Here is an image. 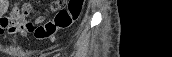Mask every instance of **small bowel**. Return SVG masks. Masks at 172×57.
Returning a JSON list of instances; mask_svg holds the SVG:
<instances>
[{"mask_svg":"<svg viewBox=\"0 0 172 57\" xmlns=\"http://www.w3.org/2000/svg\"><path fill=\"white\" fill-rule=\"evenodd\" d=\"M29 6V2L23 3L20 1L15 2L10 6L9 1L0 0V37L9 35H27L33 33L37 39H42V35L45 31L44 25H40L47 16V13H41L36 19L35 23L30 21L32 15H24L22 8Z\"/></svg>","mask_w":172,"mask_h":57,"instance_id":"small-bowel-1","label":"small bowel"}]
</instances>
